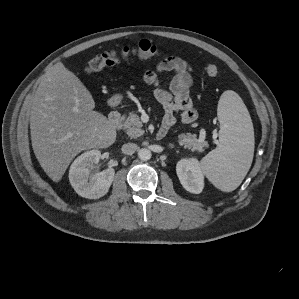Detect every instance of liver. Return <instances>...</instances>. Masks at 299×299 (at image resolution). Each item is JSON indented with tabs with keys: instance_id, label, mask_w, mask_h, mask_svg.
Wrapping results in <instances>:
<instances>
[{
	"instance_id": "obj_1",
	"label": "liver",
	"mask_w": 299,
	"mask_h": 299,
	"mask_svg": "<svg viewBox=\"0 0 299 299\" xmlns=\"http://www.w3.org/2000/svg\"><path fill=\"white\" fill-rule=\"evenodd\" d=\"M94 108L88 89L61 62L45 73L32 101L30 132L34 154L54 182L81 151L115 142L114 124Z\"/></svg>"
}]
</instances>
